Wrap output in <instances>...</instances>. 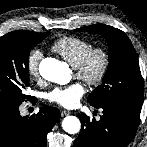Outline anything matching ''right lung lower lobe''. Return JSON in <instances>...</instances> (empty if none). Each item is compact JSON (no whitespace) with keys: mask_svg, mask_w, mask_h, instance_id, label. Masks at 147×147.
<instances>
[{"mask_svg":"<svg viewBox=\"0 0 147 147\" xmlns=\"http://www.w3.org/2000/svg\"><path fill=\"white\" fill-rule=\"evenodd\" d=\"M20 104H0V147H46V135L57 123V108L42 105L37 114L22 117Z\"/></svg>","mask_w":147,"mask_h":147,"instance_id":"obj_1","label":"right lung lower lobe"}]
</instances>
